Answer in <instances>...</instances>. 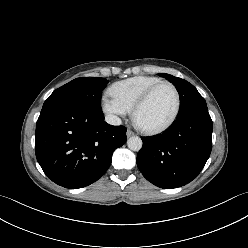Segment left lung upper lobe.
<instances>
[{"label": "left lung upper lobe", "mask_w": 248, "mask_h": 248, "mask_svg": "<svg viewBox=\"0 0 248 248\" xmlns=\"http://www.w3.org/2000/svg\"><path fill=\"white\" fill-rule=\"evenodd\" d=\"M159 75L173 83L179 93L180 110L178 117L198 106L206 105L204 98L199 94L197 89L186 80L165 73H160Z\"/></svg>", "instance_id": "left-lung-upper-lobe-1"}]
</instances>
